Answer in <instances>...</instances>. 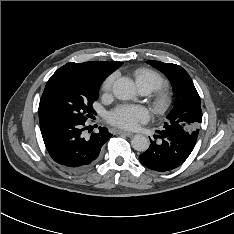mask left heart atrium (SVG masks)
I'll use <instances>...</instances> for the list:
<instances>
[{
  "label": "left heart atrium",
  "instance_id": "1",
  "mask_svg": "<svg viewBox=\"0 0 234 234\" xmlns=\"http://www.w3.org/2000/svg\"><path fill=\"white\" fill-rule=\"evenodd\" d=\"M148 118V111L140 106H120L107 116L110 123L126 130L136 129L140 123L146 122Z\"/></svg>",
  "mask_w": 234,
  "mask_h": 234
}]
</instances>
